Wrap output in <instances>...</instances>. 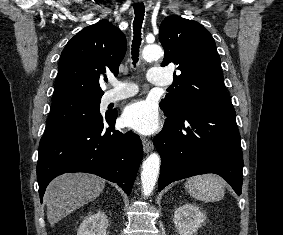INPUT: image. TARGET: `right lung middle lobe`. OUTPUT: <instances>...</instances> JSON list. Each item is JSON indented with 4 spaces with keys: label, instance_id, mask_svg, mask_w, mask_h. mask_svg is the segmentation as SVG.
<instances>
[{
    "label": "right lung middle lobe",
    "instance_id": "1",
    "mask_svg": "<svg viewBox=\"0 0 283 235\" xmlns=\"http://www.w3.org/2000/svg\"><path fill=\"white\" fill-rule=\"evenodd\" d=\"M100 100L101 97H75L54 102L44 135L101 117Z\"/></svg>",
    "mask_w": 283,
    "mask_h": 235
}]
</instances>
